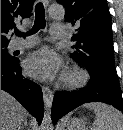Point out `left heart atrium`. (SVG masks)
<instances>
[{"mask_svg":"<svg viewBox=\"0 0 123 130\" xmlns=\"http://www.w3.org/2000/svg\"><path fill=\"white\" fill-rule=\"evenodd\" d=\"M25 68L35 78L51 79L61 71L62 61L52 49L43 47L27 58Z\"/></svg>","mask_w":123,"mask_h":130,"instance_id":"left-heart-atrium-1","label":"left heart atrium"}]
</instances>
